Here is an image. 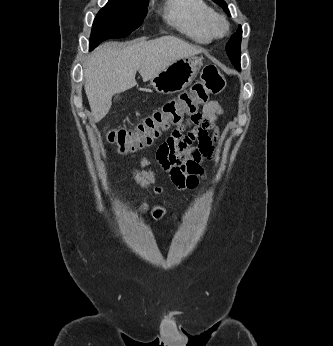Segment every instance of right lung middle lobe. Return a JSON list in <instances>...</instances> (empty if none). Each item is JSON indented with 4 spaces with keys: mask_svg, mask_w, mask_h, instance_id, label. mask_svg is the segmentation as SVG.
<instances>
[{
    "mask_svg": "<svg viewBox=\"0 0 333 346\" xmlns=\"http://www.w3.org/2000/svg\"><path fill=\"white\" fill-rule=\"evenodd\" d=\"M148 0H109L94 19L90 50L104 40L123 38L137 29L147 13Z\"/></svg>",
    "mask_w": 333,
    "mask_h": 346,
    "instance_id": "obj_1",
    "label": "right lung middle lobe"
}]
</instances>
